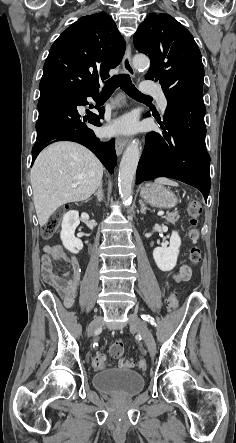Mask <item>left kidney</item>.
Here are the masks:
<instances>
[{"label":"left kidney","instance_id":"obj_1","mask_svg":"<svg viewBox=\"0 0 236 443\" xmlns=\"http://www.w3.org/2000/svg\"><path fill=\"white\" fill-rule=\"evenodd\" d=\"M181 239L176 231L170 237L169 247H156L153 250V258L156 265L162 271H171L177 263Z\"/></svg>","mask_w":236,"mask_h":443}]
</instances>
